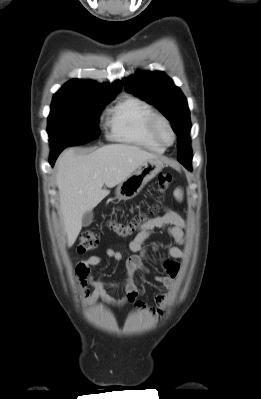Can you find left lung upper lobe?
Wrapping results in <instances>:
<instances>
[{"label": "left lung upper lobe", "mask_w": 261, "mask_h": 399, "mask_svg": "<svg viewBox=\"0 0 261 399\" xmlns=\"http://www.w3.org/2000/svg\"><path fill=\"white\" fill-rule=\"evenodd\" d=\"M122 82L127 91L157 106L161 113L168 118L178 136V161L182 164L191 163L190 113L187 99L181 90L169 77L159 71L137 72L133 76L124 78Z\"/></svg>", "instance_id": "obj_1"}]
</instances>
